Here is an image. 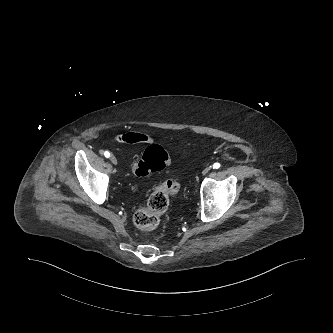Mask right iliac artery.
<instances>
[{
  "label": "right iliac artery",
  "instance_id": "obj_1",
  "mask_svg": "<svg viewBox=\"0 0 333 333\" xmlns=\"http://www.w3.org/2000/svg\"><path fill=\"white\" fill-rule=\"evenodd\" d=\"M104 156H105L106 158H109V157H110V153H109L108 151H105V152H104Z\"/></svg>",
  "mask_w": 333,
  "mask_h": 333
}]
</instances>
